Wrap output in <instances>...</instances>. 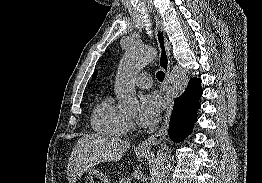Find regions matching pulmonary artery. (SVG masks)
<instances>
[{
    "instance_id": "pulmonary-artery-1",
    "label": "pulmonary artery",
    "mask_w": 262,
    "mask_h": 183,
    "mask_svg": "<svg viewBox=\"0 0 262 183\" xmlns=\"http://www.w3.org/2000/svg\"><path fill=\"white\" fill-rule=\"evenodd\" d=\"M135 83L140 88H149L152 85V77L147 73H142L135 78Z\"/></svg>"
}]
</instances>
